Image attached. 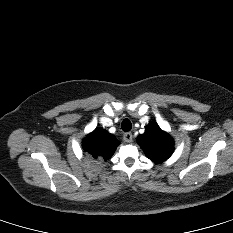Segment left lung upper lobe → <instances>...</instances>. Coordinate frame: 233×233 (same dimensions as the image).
<instances>
[{
  "mask_svg": "<svg viewBox=\"0 0 233 233\" xmlns=\"http://www.w3.org/2000/svg\"><path fill=\"white\" fill-rule=\"evenodd\" d=\"M138 144L146 156L155 163L168 159L174 150V142L170 135L162 131L155 122L149 123L145 133L139 135Z\"/></svg>",
  "mask_w": 233,
  "mask_h": 233,
  "instance_id": "1",
  "label": "left lung upper lobe"
}]
</instances>
